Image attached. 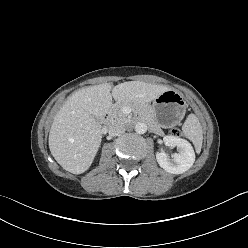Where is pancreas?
<instances>
[{"mask_svg": "<svg viewBox=\"0 0 248 248\" xmlns=\"http://www.w3.org/2000/svg\"><path fill=\"white\" fill-rule=\"evenodd\" d=\"M126 106L132 107L133 110L136 113H138L143 120H146L147 122L153 124V127H154L153 132L157 134L160 132V127L153 122V116L150 112V107L148 106H141V107L136 108V107H133L131 104H123V103L116 104L113 110L111 111V117L115 121L126 123L128 121V117L127 115L123 113V108Z\"/></svg>", "mask_w": 248, "mask_h": 248, "instance_id": "pancreas-1", "label": "pancreas"}]
</instances>
